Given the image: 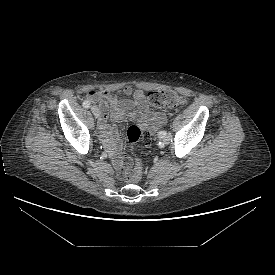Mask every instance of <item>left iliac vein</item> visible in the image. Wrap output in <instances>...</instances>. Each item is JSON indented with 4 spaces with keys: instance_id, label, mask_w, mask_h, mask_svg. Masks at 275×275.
I'll use <instances>...</instances> for the list:
<instances>
[{
    "instance_id": "1",
    "label": "left iliac vein",
    "mask_w": 275,
    "mask_h": 275,
    "mask_svg": "<svg viewBox=\"0 0 275 275\" xmlns=\"http://www.w3.org/2000/svg\"><path fill=\"white\" fill-rule=\"evenodd\" d=\"M171 140V135L170 134H166L163 138L162 141L164 144H168Z\"/></svg>"
}]
</instances>
